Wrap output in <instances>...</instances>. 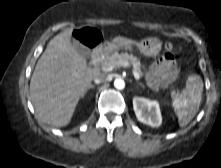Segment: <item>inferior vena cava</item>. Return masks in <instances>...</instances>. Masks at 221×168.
I'll return each instance as SVG.
<instances>
[{"mask_svg":"<svg viewBox=\"0 0 221 168\" xmlns=\"http://www.w3.org/2000/svg\"><path fill=\"white\" fill-rule=\"evenodd\" d=\"M106 80H107V75L104 74V73H99V74H97V75L94 77V82H95L96 84L105 82Z\"/></svg>","mask_w":221,"mask_h":168,"instance_id":"inferior-vena-cava-1","label":"inferior vena cava"}]
</instances>
